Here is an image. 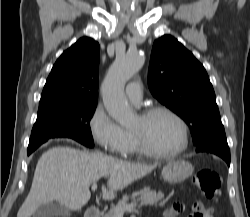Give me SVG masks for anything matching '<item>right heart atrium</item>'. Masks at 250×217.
<instances>
[{"label":"right heart atrium","mask_w":250,"mask_h":217,"mask_svg":"<svg viewBox=\"0 0 250 217\" xmlns=\"http://www.w3.org/2000/svg\"><path fill=\"white\" fill-rule=\"evenodd\" d=\"M88 129L93 140L109 154H123L127 146L124 130L98 104L89 120Z\"/></svg>","instance_id":"d8ad5b80"}]
</instances>
